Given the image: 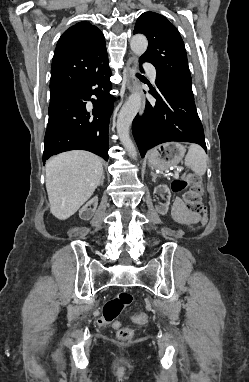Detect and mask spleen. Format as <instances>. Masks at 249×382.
<instances>
[{
    "label": "spleen",
    "mask_w": 249,
    "mask_h": 382,
    "mask_svg": "<svg viewBox=\"0 0 249 382\" xmlns=\"http://www.w3.org/2000/svg\"><path fill=\"white\" fill-rule=\"evenodd\" d=\"M185 165L199 176L205 174L207 169V155L205 151L197 144H191L185 157Z\"/></svg>",
    "instance_id": "spleen-1"
}]
</instances>
